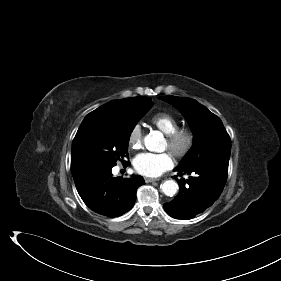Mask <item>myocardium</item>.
Here are the masks:
<instances>
[{"instance_id": "1", "label": "myocardium", "mask_w": 281, "mask_h": 281, "mask_svg": "<svg viewBox=\"0 0 281 281\" xmlns=\"http://www.w3.org/2000/svg\"><path fill=\"white\" fill-rule=\"evenodd\" d=\"M194 144L195 135L189 128H177L167 135V147L177 158L186 157Z\"/></svg>"}]
</instances>
